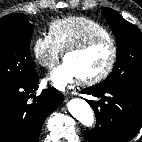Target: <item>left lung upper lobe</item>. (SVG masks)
<instances>
[{
    "label": "left lung upper lobe",
    "instance_id": "5c2ea615",
    "mask_svg": "<svg viewBox=\"0 0 142 142\" xmlns=\"http://www.w3.org/2000/svg\"><path fill=\"white\" fill-rule=\"evenodd\" d=\"M117 39V58L113 71L98 86L126 84L142 86V33L119 13L102 8Z\"/></svg>",
    "mask_w": 142,
    "mask_h": 142
}]
</instances>
